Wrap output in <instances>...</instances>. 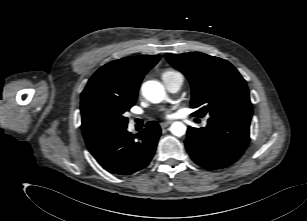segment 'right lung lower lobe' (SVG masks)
I'll return each mask as SVG.
<instances>
[{
    "label": "right lung lower lobe",
    "instance_id": "right-lung-lower-lobe-1",
    "mask_svg": "<svg viewBox=\"0 0 307 221\" xmlns=\"http://www.w3.org/2000/svg\"><path fill=\"white\" fill-rule=\"evenodd\" d=\"M160 133L159 125L151 121L138 135H132L124 128L96 142L92 148L88 149L108 172L116 175H130L149 164Z\"/></svg>",
    "mask_w": 307,
    "mask_h": 221
}]
</instances>
